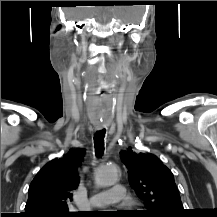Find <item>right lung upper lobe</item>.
Masks as SVG:
<instances>
[{"label": "right lung upper lobe", "instance_id": "cb5924a9", "mask_svg": "<svg viewBox=\"0 0 217 217\" xmlns=\"http://www.w3.org/2000/svg\"><path fill=\"white\" fill-rule=\"evenodd\" d=\"M84 150H71L62 158L47 163L29 187L28 201L23 217H58L73 215L69 212L72 191L78 187L77 164ZM77 215V214H75Z\"/></svg>", "mask_w": 217, "mask_h": 217}]
</instances>
